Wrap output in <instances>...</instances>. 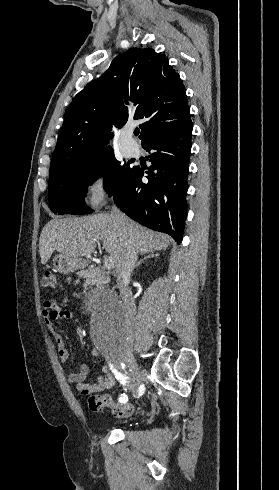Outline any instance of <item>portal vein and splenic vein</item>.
Instances as JSON below:
<instances>
[{
	"label": "portal vein and splenic vein",
	"instance_id": "obj_1",
	"mask_svg": "<svg viewBox=\"0 0 279 490\" xmlns=\"http://www.w3.org/2000/svg\"><path fill=\"white\" fill-rule=\"evenodd\" d=\"M104 266H105V268H109V270H110V268H114L115 262H114L113 258H105Z\"/></svg>",
	"mask_w": 279,
	"mask_h": 490
}]
</instances>
